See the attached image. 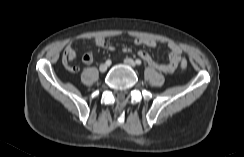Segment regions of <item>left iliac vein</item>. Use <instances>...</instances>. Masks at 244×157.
Listing matches in <instances>:
<instances>
[{
	"label": "left iliac vein",
	"instance_id": "left-iliac-vein-1",
	"mask_svg": "<svg viewBox=\"0 0 244 157\" xmlns=\"http://www.w3.org/2000/svg\"><path fill=\"white\" fill-rule=\"evenodd\" d=\"M124 63H125L126 65L132 67V68H135V67H136V63H135V61H134L133 59H131V58H126V59L124 60Z\"/></svg>",
	"mask_w": 244,
	"mask_h": 157
}]
</instances>
